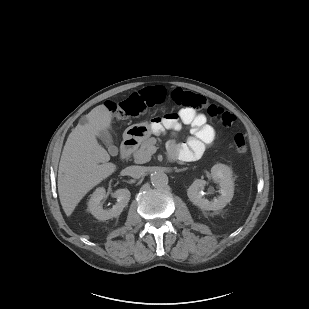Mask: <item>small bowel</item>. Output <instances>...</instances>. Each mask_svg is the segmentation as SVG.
<instances>
[{
	"mask_svg": "<svg viewBox=\"0 0 309 309\" xmlns=\"http://www.w3.org/2000/svg\"><path fill=\"white\" fill-rule=\"evenodd\" d=\"M190 127L191 136L184 145H179L175 140L168 142V151L172 159H189L200 156L205 147L212 143L215 138L214 128L207 123L205 116L190 108H184L178 113L167 114L158 127L177 130L180 124Z\"/></svg>",
	"mask_w": 309,
	"mask_h": 309,
	"instance_id": "1",
	"label": "small bowel"
}]
</instances>
